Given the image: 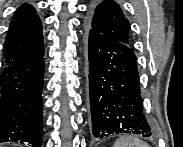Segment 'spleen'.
<instances>
[{
    "label": "spleen",
    "mask_w": 183,
    "mask_h": 147,
    "mask_svg": "<svg viewBox=\"0 0 183 147\" xmlns=\"http://www.w3.org/2000/svg\"><path fill=\"white\" fill-rule=\"evenodd\" d=\"M114 147H150V146L146 142H143L138 138L121 137L115 142Z\"/></svg>",
    "instance_id": "3e777b00"
}]
</instances>
